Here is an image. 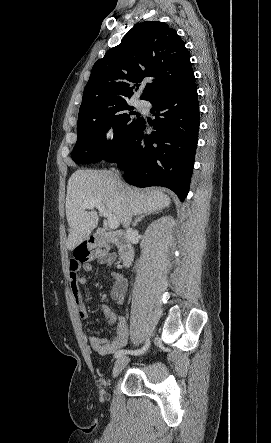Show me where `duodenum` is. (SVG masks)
<instances>
[{"label": "duodenum", "mask_w": 271, "mask_h": 443, "mask_svg": "<svg viewBox=\"0 0 271 443\" xmlns=\"http://www.w3.org/2000/svg\"><path fill=\"white\" fill-rule=\"evenodd\" d=\"M96 235L99 238L113 242L118 246L123 264H127L132 260L133 247L126 235L120 232H109L103 229H99Z\"/></svg>", "instance_id": "obj_1"}]
</instances>
